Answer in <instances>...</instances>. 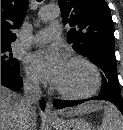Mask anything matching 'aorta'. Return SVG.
Wrapping results in <instances>:
<instances>
[{
    "mask_svg": "<svg viewBox=\"0 0 123 130\" xmlns=\"http://www.w3.org/2000/svg\"><path fill=\"white\" fill-rule=\"evenodd\" d=\"M59 15H60V8L58 5L55 4L44 6L38 12V16L42 21L55 19L59 17Z\"/></svg>",
    "mask_w": 123,
    "mask_h": 130,
    "instance_id": "762f6f07",
    "label": "aorta"
}]
</instances>
